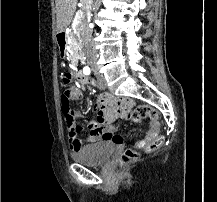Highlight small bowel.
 Here are the masks:
<instances>
[{"mask_svg": "<svg viewBox=\"0 0 217 202\" xmlns=\"http://www.w3.org/2000/svg\"><path fill=\"white\" fill-rule=\"evenodd\" d=\"M69 90V99L80 100L83 97L82 90L76 85H67ZM112 96L107 93L97 95L93 105V111L96 114L94 120L88 122L89 129L88 142L98 140H108L116 144H122L123 138L114 134L111 127H105L106 123L119 121L120 118H126L128 113L134 108L133 101H109ZM109 112V113H108ZM75 117H82L83 113L74 112ZM148 129L144 138L133 144L134 147L144 148L153 141L159 134L160 124L158 121L148 120ZM137 123L141 121H135ZM80 132H85V127L75 126L74 131H69V141H80ZM71 147H82V142H71Z\"/></svg>", "mask_w": 217, "mask_h": 202, "instance_id": "c3829d8e", "label": "small bowel"}]
</instances>
